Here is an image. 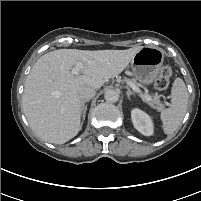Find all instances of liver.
<instances>
[{"instance_id":"1","label":"liver","mask_w":201,"mask_h":201,"mask_svg":"<svg viewBox=\"0 0 201 201\" xmlns=\"http://www.w3.org/2000/svg\"><path fill=\"white\" fill-rule=\"evenodd\" d=\"M141 47L126 50L59 49L41 56L27 76L22 110L37 137L63 144L81 129L82 86L99 89L119 75ZM76 62L82 75H72Z\"/></svg>"}]
</instances>
